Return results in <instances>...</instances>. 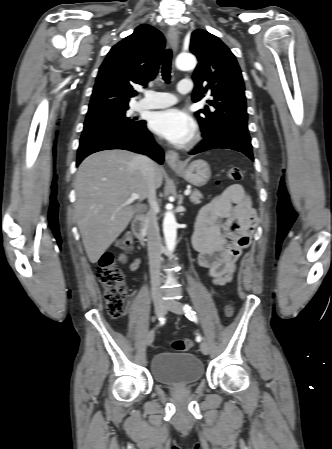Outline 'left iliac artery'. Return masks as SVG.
<instances>
[{
	"label": "left iliac artery",
	"instance_id": "1",
	"mask_svg": "<svg viewBox=\"0 0 332 449\" xmlns=\"http://www.w3.org/2000/svg\"><path fill=\"white\" fill-rule=\"evenodd\" d=\"M183 310H184L186 316H187L191 321H194V322H196V323L198 322L196 313L192 310V308H191L188 304H185V305H184ZM201 340H202V337H201L200 334H198L197 337H196V341H197V342H200Z\"/></svg>",
	"mask_w": 332,
	"mask_h": 449
}]
</instances>
